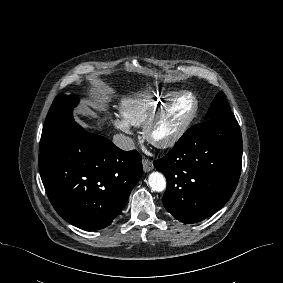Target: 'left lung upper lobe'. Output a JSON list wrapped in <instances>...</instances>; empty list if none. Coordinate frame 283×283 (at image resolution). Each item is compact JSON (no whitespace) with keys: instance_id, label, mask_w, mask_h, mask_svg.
I'll list each match as a JSON object with an SVG mask.
<instances>
[{"instance_id":"5c2ea615","label":"left lung upper lobe","mask_w":283,"mask_h":283,"mask_svg":"<svg viewBox=\"0 0 283 283\" xmlns=\"http://www.w3.org/2000/svg\"><path fill=\"white\" fill-rule=\"evenodd\" d=\"M235 116L230 110V106L225 98L224 93L219 92L214 98L205 119L211 120L216 118H234Z\"/></svg>"}]
</instances>
